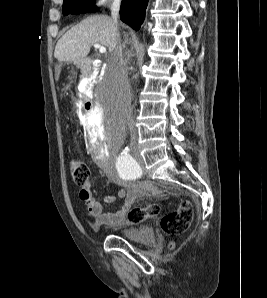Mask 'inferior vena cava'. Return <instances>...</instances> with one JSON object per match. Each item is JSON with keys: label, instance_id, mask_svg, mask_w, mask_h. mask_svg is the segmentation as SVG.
<instances>
[{"label": "inferior vena cava", "instance_id": "inferior-vena-cava-1", "mask_svg": "<svg viewBox=\"0 0 267 298\" xmlns=\"http://www.w3.org/2000/svg\"><path fill=\"white\" fill-rule=\"evenodd\" d=\"M120 4L121 0H113L111 4V17L117 32V19L119 16ZM108 70L114 75L116 81V110L119 116L129 125L131 131H134L133 109L131 105L132 93L128 80V67L126 58L122 54L119 39L118 44L112 51L111 57L108 61Z\"/></svg>", "mask_w": 267, "mask_h": 298}]
</instances>
